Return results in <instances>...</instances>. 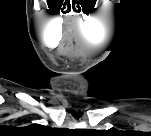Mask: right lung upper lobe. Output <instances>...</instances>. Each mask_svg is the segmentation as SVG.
Masks as SVG:
<instances>
[{"instance_id": "1", "label": "right lung upper lobe", "mask_w": 151, "mask_h": 136, "mask_svg": "<svg viewBox=\"0 0 151 136\" xmlns=\"http://www.w3.org/2000/svg\"><path fill=\"white\" fill-rule=\"evenodd\" d=\"M33 128L42 129V127H33Z\"/></svg>"}]
</instances>
